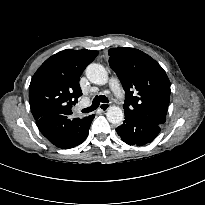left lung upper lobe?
<instances>
[{
    "label": "left lung upper lobe",
    "instance_id": "obj_1",
    "mask_svg": "<svg viewBox=\"0 0 205 205\" xmlns=\"http://www.w3.org/2000/svg\"><path fill=\"white\" fill-rule=\"evenodd\" d=\"M109 64L126 93L124 113L159 125L166 121L170 81L163 68L144 52L111 48Z\"/></svg>",
    "mask_w": 205,
    "mask_h": 205
}]
</instances>
